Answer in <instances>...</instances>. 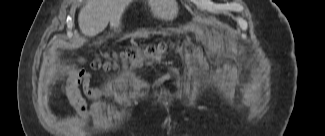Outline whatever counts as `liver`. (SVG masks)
Here are the masks:
<instances>
[{
  "label": "liver",
  "instance_id": "obj_1",
  "mask_svg": "<svg viewBox=\"0 0 325 136\" xmlns=\"http://www.w3.org/2000/svg\"><path fill=\"white\" fill-rule=\"evenodd\" d=\"M132 0H87L78 15L83 35L93 37L102 32L110 22L111 28L120 26L121 17ZM154 17L172 21L179 8L176 0H148Z\"/></svg>",
  "mask_w": 325,
  "mask_h": 136
}]
</instances>
